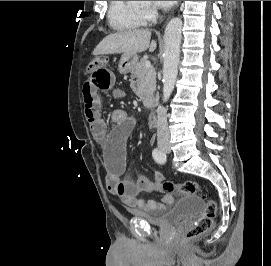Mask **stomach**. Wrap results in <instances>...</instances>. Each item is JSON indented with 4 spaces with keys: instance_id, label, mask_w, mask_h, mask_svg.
Segmentation results:
<instances>
[{
    "instance_id": "obj_1",
    "label": "stomach",
    "mask_w": 271,
    "mask_h": 266,
    "mask_svg": "<svg viewBox=\"0 0 271 266\" xmlns=\"http://www.w3.org/2000/svg\"><path fill=\"white\" fill-rule=\"evenodd\" d=\"M138 63V55L136 53L134 54H127L124 53L121 58L118 65V70L121 74H126L130 72Z\"/></svg>"
}]
</instances>
